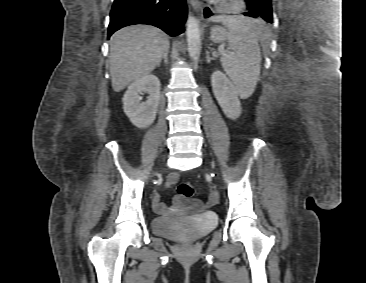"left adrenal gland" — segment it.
<instances>
[{"label": "left adrenal gland", "mask_w": 366, "mask_h": 283, "mask_svg": "<svg viewBox=\"0 0 366 283\" xmlns=\"http://www.w3.org/2000/svg\"><path fill=\"white\" fill-rule=\"evenodd\" d=\"M206 59H207V63H210V61L214 59V58L210 57V52L209 51H206Z\"/></svg>", "instance_id": "1"}]
</instances>
